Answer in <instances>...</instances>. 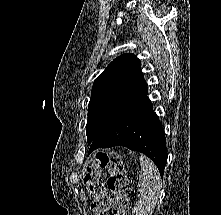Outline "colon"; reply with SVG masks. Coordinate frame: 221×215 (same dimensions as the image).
<instances>
[{
	"label": "colon",
	"instance_id": "5ec220e1",
	"mask_svg": "<svg viewBox=\"0 0 221 215\" xmlns=\"http://www.w3.org/2000/svg\"><path fill=\"white\" fill-rule=\"evenodd\" d=\"M105 169L111 173L108 187L115 194L114 198L105 193L102 177ZM83 183L92 199L90 209L94 215H108L110 210L114 215H130L127 177L117 153L108 151L94 153L83 176Z\"/></svg>",
	"mask_w": 221,
	"mask_h": 215
}]
</instances>
